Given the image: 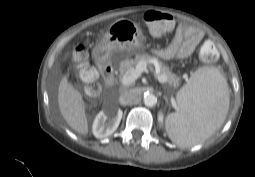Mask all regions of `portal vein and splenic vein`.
<instances>
[{"mask_svg":"<svg viewBox=\"0 0 255 177\" xmlns=\"http://www.w3.org/2000/svg\"><path fill=\"white\" fill-rule=\"evenodd\" d=\"M147 63L145 61H140L135 68L130 69L121 79V83L125 86H129L135 82V80L141 76V74L146 71ZM158 81L163 83L166 81L164 76L158 77ZM174 108L178 109L177 105L174 104Z\"/></svg>","mask_w":255,"mask_h":177,"instance_id":"1","label":"portal vein and splenic vein"}]
</instances>
